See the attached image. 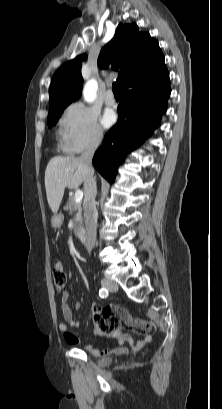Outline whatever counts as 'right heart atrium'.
I'll return each mask as SVG.
<instances>
[{
  "instance_id": "right-heart-atrium-1",
  "label": "right heart atrium",
  "mask_w": 222,
  "mask_h": 409,
  "mask_svg": "<svg viewBox=\"0 0 222 409\" xmlns=\"http://www.w3.org/2000/svg\"><path fill=\"white\" fill-rule=\"evenodd\" d=\"M62 146L69 153L97 147L104 133L97 114L83 103L69 105L60 120Z\"/></svg>"
}]
</instances>
